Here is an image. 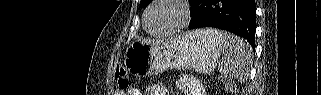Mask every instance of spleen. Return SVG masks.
Returning <instances> with one entry per match:
<instances>
[{"instance_id": "3e777b00", "label": "spleen", "mask_w": 321, "mask_h": 95, "mask_svg": "<svg viewBox=\"0 0 321 95\" xmlns=\"http://www.w3.org/2000/svg\"><path fill=\"white\" fill-rule=\"evenodd\" d=\"M202 32L222 43L223 57L219 61V71L244 82L252 63L251 46L244 39L228 32L215 29H206Z\"/></svg>"}]
</instances>
